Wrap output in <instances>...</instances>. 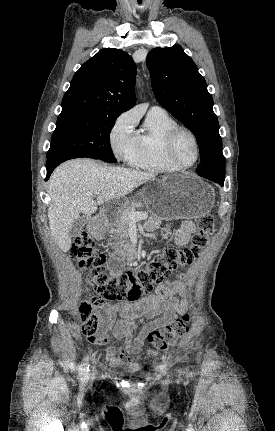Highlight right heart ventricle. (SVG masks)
Segmentation results:
<instances>
[{
  "instance_id": "obj_1",
  "label": "right heart ventricle",
  "mask_w": 275,
  "mask_h": 431,
  "mask_svg": "<svg viewBox=\"0 0 275 431\" xmlns=\"http://www.w3.org/2000/svg\"><path fill=\"white\" fill-rule=\"evenodd\" d=\"M178 123L162 108H151L138 136V148L133 167L155 173H170L179 170L164 153L165 139Z\"/></svg>"
}]
</instances>
